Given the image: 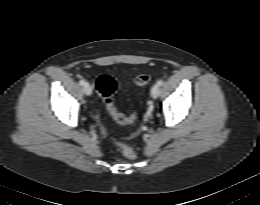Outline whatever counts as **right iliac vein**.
Segmentation results:
<instances>
[{
	"instance_id": "right-iliac-vein-1",
	"label": "right iliac vein",
	"mask_w": 260,
	"mask_h": 205,
	"mask_svg": "<svg viewBox=\"0 0 260 205\" xmlns=\"http://www.w3.org/2000/svg\"><path fill=\"white\" fill-rule=\"evenodd\" d=\"M84 93L88 96L92 94V87L89 83L84 85Z\"/></svg>"
}]
</instances>
